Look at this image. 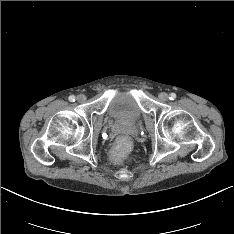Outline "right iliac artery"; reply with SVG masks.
Listing matches in <instances>:
<instances>
[{
  "instance_id": "1",
  "label": "right iliac artery",
  "mask_w": 234,
  "mask_h": 234,
  "mask_svg": "<svg viewBox=\"0 0 234 234\" xmlns=\"http://www.w3.org/2000/svg\"><path fill=\"white\" fill-rule=\"evenodd\" d=\"M68 99H69L70 102H74V101H75V96H74V95H71V96H69Z\"/></svg>"
}]
</instances>
